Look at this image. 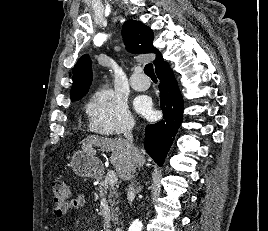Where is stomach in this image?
Segmentation results:
<instances>
[{
	"label": "stomach",
	"instance_id": "stomach-1",
	"mask_svg": "<svg viewBox=\"0 0 268 231\" xmlns=\"http://www.w3.org/2000/svg\"><path fill=\"white\" fill-rule=\"evenodd\" d=\"M70 164L75 174L80 177L96 178L102 173L100 160L84 149L73 153Z\"/></svg>",
	"mask_w": 268,
	"mask_h": 231
}]
</instances>
